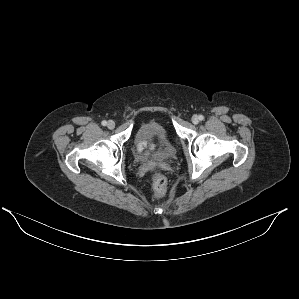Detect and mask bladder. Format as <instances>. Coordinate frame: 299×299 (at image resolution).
<instances>
[{"label": "bladder", "instance_id": "obj_1", "mask_svg": "<svg viewBox=\"0 0 299 299\" xmlns=\"http://www.w3.org/2000/svg\"><path fill=\"white\" fill-rule=\"evenodd\" d=\"M142 144L154 147L157 156L164 161L172 159L176 154V142L169 131L161 123L151 120L144 122L138 128L134 145Z\"/></svg>", "mask_w": 299, "mask_h": 299}]
</instances>
